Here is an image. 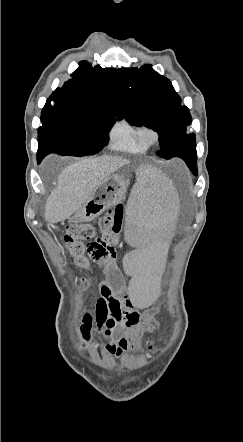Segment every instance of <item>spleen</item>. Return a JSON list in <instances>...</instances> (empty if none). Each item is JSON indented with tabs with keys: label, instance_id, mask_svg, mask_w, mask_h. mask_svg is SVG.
<instances>
[{
	"label": "spleen",
	"instance_id": "obj_1",
	"mask_svg": "<svg viewBox=\"0 0 243 442\" xmlns=\"http://www.w3.org/2000/svg\"><path fill=\"white\" fill-rule=\"evenodd\" d=\"M136 177L131 193H127L124 237L138 254L125 259L127 274L133 280L126 293L132 296L134 307H152L164 284L160 274L171 256L170 242L175 240L171 226H181V217H175L178 194L172 193L177 185L171 178H162L154 163H141Z\"/></svg>",
	"mask_w": 243,
	"mask_h": 442
}]
</instances>
